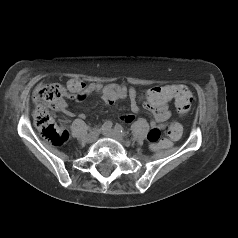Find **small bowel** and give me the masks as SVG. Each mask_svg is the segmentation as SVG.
<instances>
[{"mask_svg":"<svg viewBox=\"0 0 238 238\" xmlns=\"http://www.w3.org/2000/svg\"><path fill=\"white\" fill-rule=\"evenodd\" d=\"M174 87L175 85L154 87L149 89L144 95L140 96L134 87L126 86L124 84L111 83L103 86L101 83L85 84L80 80L71 79L67 83V96L70 99L81 102L91 94H100L106 105H113L118 99L128 97L131 102V111L133 113H138L140 111L139 101H142L144 107L152 118V128L161 129L163 124L168 121L171 116L168 102L173 98L172 96H166L165 92ZM56 110L69 117L74 116V114L68 110L67 103L64 100L56 106ZM81 116L83 117V115ZM134 118L135 117L132 114L121 116V120L126 123H131Z\"/></svg>","mask_w":238,"mask_h":238,"instance_id":"c3829d8e","label":"small bowel"}]
</instances>
